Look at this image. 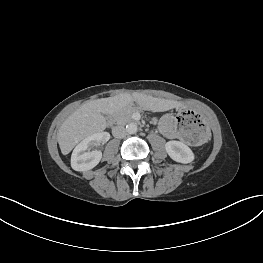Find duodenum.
<instances>
[{"mask_svg":"<svg viewBox=\"0 0 263 263\" xmlns=\"http://www.w3.org/2000/svg\"><path fill=\"white\" fill-rule=\"evenodd\" d=\"M108 122H109V124H111V125H112V124H113V122H114V121H113V118H111V117H110V118H109V120H108Z\"/></svg>","mask_w":263,"mask_h":263,"instance_id":"1","label":"duodenum"}]
</instances>
